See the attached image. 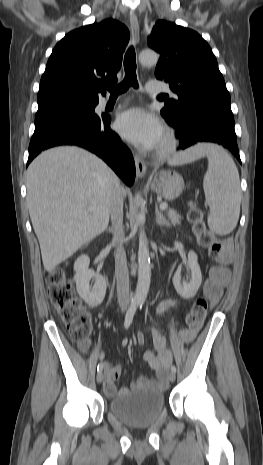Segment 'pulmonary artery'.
I'll list each match as a JSON object with an SVG mask.
<instances>
[{"label": "pulmonary artery", "instance_id": "pulmonary-artery-1", "mask_svg": "<svg viewBox=\"0 0 263 465\" xmlns=\"http://www.w3.org/2000/svg\"><path fill=\"white\" fill-rule=\"evenodd\" d=\"M147 91L150 93H158V92H167L168 88L162 84H158L155 82H149L147 84ZM174 95V94H173ZM106 103V102H104Z\"/></svg>", "mask_w": 263, "mask_h": 465}]
</instances>
